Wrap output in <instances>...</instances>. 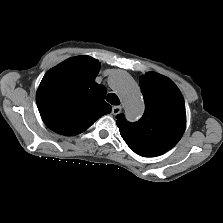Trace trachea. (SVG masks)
Wrapping results in <instances>:
<instances>
[{
    "mask_svg": "<svg viewBox=\"0 0 223 223\" xmlns=\"http://www.w3.org/2000/svg\"><path fill=\"white\" fill-rule=\"evenodd\" d=\"M106 100L112 105H120V100L118 96L114 93L108 94Z\"/></svg>",
    "mask_w": 223,
    "mask_h": 223,
    "instance_id": "trachea-1",
    "label": "trachea"
}]
</instances>
